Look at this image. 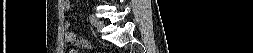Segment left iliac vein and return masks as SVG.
<instances>
[{
    "mask_svg": "<svg viewBox=\"0 0 253 53\" xmlns=\"http://www.w3.org/2000/svg\"><path fill=\"white\" fill-rule=\"evenodd\" d=\"M103 25H104V23L102 21H97L96 22V28H97V30L101 31Z\"/></svg>",
    "mask_w": 253,
    "mask_h": 53,
    "instance_id": "obj_1",
    "label": "left iliac vein"
}]
</instances>
